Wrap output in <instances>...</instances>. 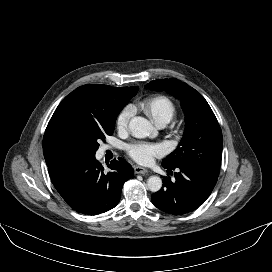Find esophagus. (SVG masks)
Segmentation results:
<instances>
[{"mask_svg":"<svg viewBox=\"0 0 272 272\" xmlns=\"http://www.w3.org/2000/svg\"><path fill=\"white\" fill-rule=\"evenodd\" d=\"M134 172L136 174H146V173H148V170L146 168H144V167H141V166H135L134 167Z\"/></svg>","mask_w":272,"mask_h":272,"instance_id":"1","label":"esophagus"}]
</instances>
